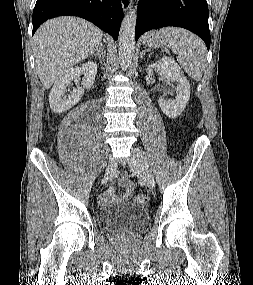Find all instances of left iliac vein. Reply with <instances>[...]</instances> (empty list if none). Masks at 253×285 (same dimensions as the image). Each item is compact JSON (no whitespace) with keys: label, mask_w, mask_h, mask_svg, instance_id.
<instances>
[{"label":"left iliac vein","mask_w":253,"mask_h":285,"mask_svg":"<svg viewBox=\"0 0 253 285\" xmlns=\"http://www.w3.org/2000/svg\"><path fill=\"white\" fill-rule=\"evenodd\" d=\"M130 168L137 174H139L146 185L153 189L155 186L153 173L141 151L138 148H132V155L128 160Z\"/></svg>","instance_id":"4c4485c4"}]
</instances>
